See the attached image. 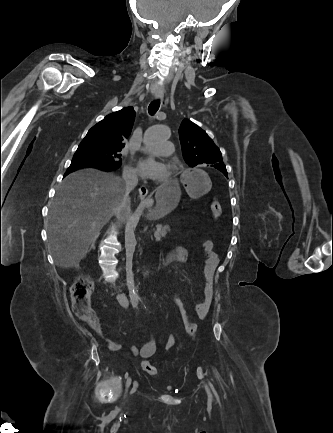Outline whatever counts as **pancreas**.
<instances>
[{
  "label": "pancreas",
  "mask_w": 333,
  "mask_h": 433,
  "mask_svg": "<svg viewBox=\"0 0 333 433\" xmlns=\"http://www.w3.org/2000/svg\"><path fill=\"white\" fill-rule=\"evenodd\" d=\"M170 230L168 225H161L158 224L156 226V231L155 233L160 237V238H164L167 235V232Z\"/></svg>",
  "instance_id": "obj_1"
}]
</instances>
